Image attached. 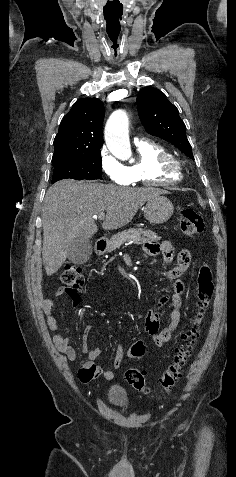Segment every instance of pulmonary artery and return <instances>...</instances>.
<instances>
[{"mask_svg": "<svg viewBox=\"0 0 236 477\" xmlns=\"http://www.w3.org/2000/svg\"><path fill=\"white\" fill-rule=\"evenodd\" d=\"M134 141H135V143H137L139 141V139L136 137V138H134Z\"/></svg>", "mask_w": 236, "mask_h": 477, "instance_id": "1", "label": "pulmonary artery"}]
</instances>
